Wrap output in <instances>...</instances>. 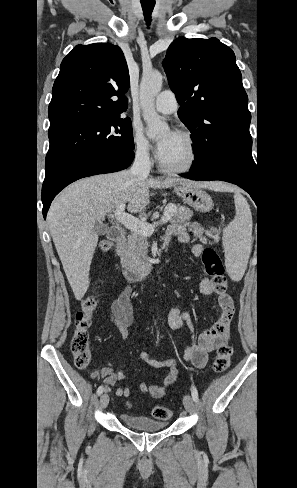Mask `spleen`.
Returning <instances> with one entry per match:
<instances>
[{"instance_id":"obj_1","label":"spleen","mask_w":297,"mask_h":488,"mask_svg":"<svg viewBox=\"0 0 297 488\" xmlns=\"http://www.w3.org/2000/svg\"><path fill=\"white\" fill-rule=\"evenodd\" d=\"M236 215L223 229L225 264L230 278L240 281L247 268L252 249V215L247 200L234 195Z\"/></svg>"}]
</instances>
